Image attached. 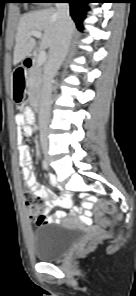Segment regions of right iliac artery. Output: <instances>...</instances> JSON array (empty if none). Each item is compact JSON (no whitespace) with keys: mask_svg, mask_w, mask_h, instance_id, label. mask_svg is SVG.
Segmentation results:
<instances>
[{"mask_svg":"<svg viewBox=\"0 0 136 296\" xmlns=\"http://www.w3.org/2000/svg\"><path fill=\"white\" fill-rule=\"evenodd\" d=\"M42 165L45 170H48V163L46 160H43Z\"/></svg>","mask_w":136,"mask_h":296,"instance_id":"obj_1","label":"right iliac artery"}]
</instances>
